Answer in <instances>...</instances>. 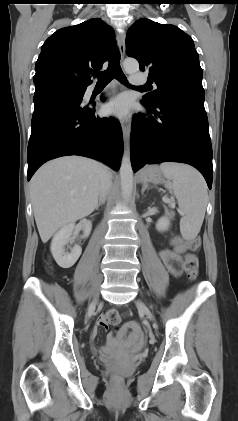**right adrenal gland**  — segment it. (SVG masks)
<instances>
[{
  "label": "right adrenal gland",
  "mask_w": 238,
  "mask_h": 421,
  "mask_svg": "<svg viewBox=\"0 0 238 421\" xmlns=\"http://www.w3.org/2000/svg\"><path fill=\"white\" fill-rule=\"evenodd\" d=\"M104 202H105V200H99V202H98V204L96 206V209H98L101 205H103Z\"/></svg>",
  "instance_id": "obj_1"
}]
</instances>
